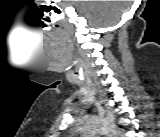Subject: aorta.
<instances>
[{"mask_svg": "<svg viewBox=\"0 0 160 137\" xmlns=\"http://www.w3.org/2000/svg\"><path fill=\"white\" fill-rule=\"evenodd\" d=\"M96 133L106 134L110 137H121V132L117 127L110 122H102L98 124L97 129L94 130Z\"/></svg>", "mask_w": 160, "mask_h": 137, "instance_id": "obj_1", "label": "aorta"}]
</instances>
